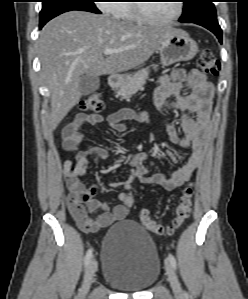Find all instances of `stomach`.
Returning a JSON list of instances; mask_svg holds the SVG:
<instances>
[{
	"mask_svg": "<svg viewBox=\"0 0 248 299\" xmlns=\"http://www.w3.org/2000/svg\"><path fill=\"white\" fill-rule=\"evenodd\" d=\"M163 66L191 60L198 51L197 43L180 29H175L158 48ZM130 77V76H128ZM128 77H118L116 86H121Z\"/></svg>",
	"mask_w": 248,
	"mask_h": 299,
	"instance_id": "0dacf381",
	"label": "stomach"
}]
</instances>
